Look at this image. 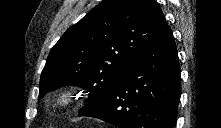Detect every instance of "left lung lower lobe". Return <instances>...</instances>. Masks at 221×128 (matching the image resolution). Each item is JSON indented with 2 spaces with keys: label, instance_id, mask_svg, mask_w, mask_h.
<instances>
[{
  "label": "left lung lower lobe",
  "instance_id": "0a47b994",
  "mask_svg": "<svg viewBox=\"0 0 221 128\" xmlns=\"http://www.w3.org/2000/svg\"><path fill=\"white\" fill-rule=\"evenodd\" d=\"M180 94L178 53L167 24L112 93L79 116L98 118L118 128H173Z\"/></svg>",
  "mask_w": 221,
  "mask_h": 128
}]
</instances>
